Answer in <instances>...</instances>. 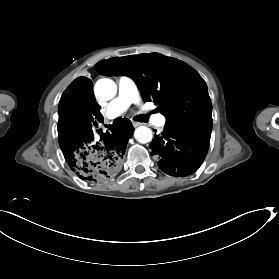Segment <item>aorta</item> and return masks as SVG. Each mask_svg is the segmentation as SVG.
Returning <instances> with one entry per match:
<instances>
[{
    "mask_svg": "<svg viewBox=\"0 0 279 279\" xmlns=\"http://www.w3.org/2000/svg\"><path fill=\"white\" fill-rule=\"evenodd\" d=\"M94 92L99 100L108 101L116 95L117 85L111 79L103 78L97 81ZM134 134L140 143H147L152 139V131L145 126L138 127Z\"/></svg>",
    "mask_w": 279,
    "mask_h": 279,
    "instance_id": "aorta-1",
    "label": "aorta"
}]
</instances>
